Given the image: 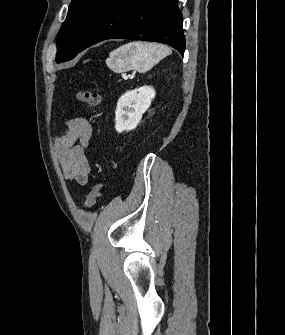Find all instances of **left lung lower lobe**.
<instances>
[{
	"mask_svg": "<svg viewBox=\"0 0 285 335\" xmlns=\"http://www.w3.org/2000/svg\"><path fill=\"white\" fill-rule=\"evenodd\" d=\"M178 0H110L86 33L79 52L106 39L154 41L183 56L185 37Z\"/></svg>",
	"mask_w": 285,
	"mask_h": 335,
	"instance_id": "left-lung-lower-lobe-1",
	"label": "left lung lower lobe"
}]
</instances>
